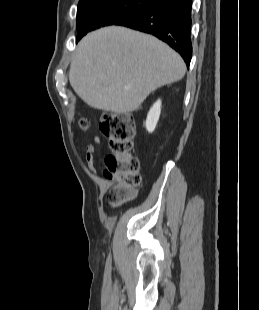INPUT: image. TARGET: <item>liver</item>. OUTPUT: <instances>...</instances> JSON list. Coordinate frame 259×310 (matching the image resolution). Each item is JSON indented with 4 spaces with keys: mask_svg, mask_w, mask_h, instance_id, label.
Wrapping results in <instances>:
<instances>
[{
    "mask_svg": "<svg viewBox=\"0 0 259 310\" xmlns=\"http://www.w3.org/2000/svg\"><path fill=\"white\" fill-rule=\"evenodd\" d=\"M181 56L152 35L110 26L78 43L69 81L90 107L124 114L135 111L157 88L181 80Z\"/></svg>",
    "mask_w": 259,
    "mask_h": 310,
    "instance_id": "1",
    "label": "liver"
}]
</instances>
